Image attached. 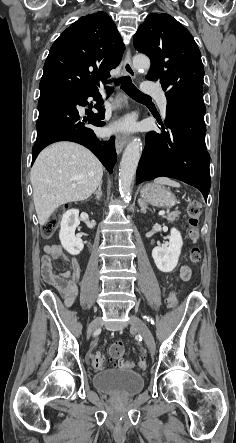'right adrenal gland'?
<instances>
[{
  "instance_id": "obj_1",
  "label": "right adrenal gland",
  "mask_w": 236,
  "mask_h": 443,
  "mask_svg": "<svg viewBox=\"0 0 236 443\" xmlns=\"http://www.w3.org/2000/svg\"><path fill=\"white\" fill-rule=\"evenodd\" d=\"M101 187H102V182L99 184L98 190L94 193V195H96V198L98 200H100L101 197H102V189H101Z\"/></svg>"
}]
</instances>
